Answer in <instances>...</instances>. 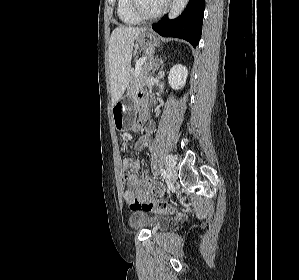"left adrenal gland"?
<instances>
[{
    "label": "left adrenal gland",
    "mask_w": 299,
    "mask_h": 280,
    "mask_svg": "<svg viewBox=\"0 0 299 280\" xmlns=\"http://www.w3.org/2000/svg\"><path fill=\"white\" fill-rule=\"evenodd\" d=\"M163 60L162 59H154L153 61V73H155L156 69H158L160 67V65L163 64Z\"/></svg>",
    "instance_id": "obj_1"
}]
</instances>
